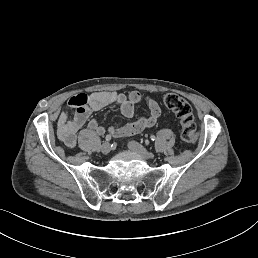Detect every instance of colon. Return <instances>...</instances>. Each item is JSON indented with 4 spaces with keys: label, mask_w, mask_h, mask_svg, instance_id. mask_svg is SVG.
<instances>
[{
    "label": "colon",
    "mask_w": 258,
    "mask_h": 258,
    "mask_svg": "<svg viewBox=\"0 0 258 258\" xmlns=\"http://www.w3.org/2000/svg\"><path fill=\"white\" fill-rule=\"evenodd\" d=\"M163 102L180 120L181 138L185 142L195 143L198 139V132L190 104L182 97L173 93L166 94Z\"/></svg>",
    "instance_id": "1"
}]
</instances>
